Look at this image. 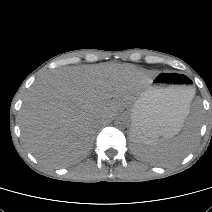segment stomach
I'll use <instances>...</instances> for the list:
<instances>
[{"label": "stomach", "mask_w": 212, "mask_h": 212, "mask_svg": "<svg viewBox=\"0 0 212 212\" xmlns=\"http://www.w3.org/2000/svg\"><path fill=\"white\" fill-rule=\"evenodd\" d=\"M184 75L159 73L131 109L130 139L136 145H154L175 136L186 118L184 95L190 88Z\"/></svg>", "instance_id": "stomach-1"}]
</instances>
